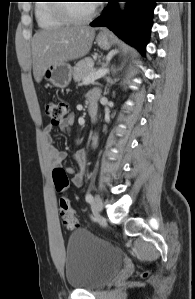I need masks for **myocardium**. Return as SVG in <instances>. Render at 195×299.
Here are the masks:
<instances>
[{
	"instance_id": "f54148a6",
	"label": "myocardium",
	"mask_w": 195,
	"mask_h": 299,
	"mask_svg": "<svg viewBox=\"0 0 195 299\" xmlns=\"http://www.w3.org/2000/svg\"><path fill=\"white\" fill-rule=\"evenodd\" d=\"M60 2H68V1H60ZM55 11L58 13L60 17L66 20L68 23L81 24L92 20L98 12L96 5L93 4L91 11L84 15L78 16L71 12L70 3H57L55 5Z\"/></svg>"
}]
</instances>
